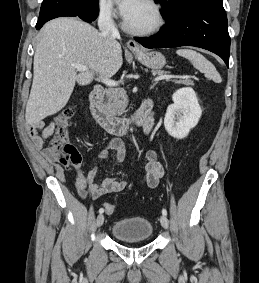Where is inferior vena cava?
<instances>
[{"instance_id":"1","label":"inferior vena cava","mask_w":259,"mask_h":283,"mask_svg":"<svg viewBox=\"0 0 259 283\" xmlns=\"http://www.w3.org/2000/svg\"><path fill=\"white\" fill-rule=\"evenodd\" d=\"M98 27L102 37L110 45L116 43V39L120 37L115 23L111 17V8L108 6H103L100 9Z\"/></svg>"}]
</instances>
